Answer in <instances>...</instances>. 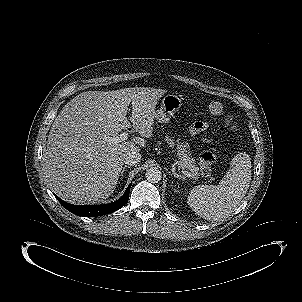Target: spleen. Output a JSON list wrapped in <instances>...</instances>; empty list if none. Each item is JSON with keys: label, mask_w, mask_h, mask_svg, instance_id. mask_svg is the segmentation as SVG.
Instances as JSON below:
<instances>
[{"label": "spleen", "mask_w": 302, "mask_h": 302, "mask_svg": "<svg viewBox=\"0 0 302 302\" xmlns=\"http://www.w3.org/2000/svg\"><path fill=\"white\" fill-rule=\"evenodd\" d=\"M251 181V161L240 153L231 161V168L218 185H198L187 199L190 208L206 220L228 216L243 199Z\"/></svg>", "instance_id": "1"}]
</instances>
